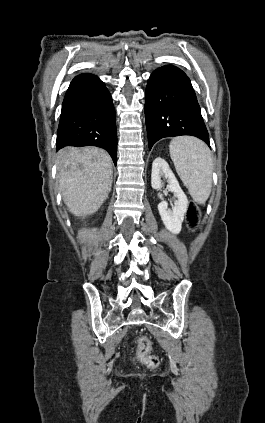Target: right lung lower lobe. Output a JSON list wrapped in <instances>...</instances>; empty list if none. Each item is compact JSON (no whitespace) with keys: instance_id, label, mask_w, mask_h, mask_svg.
Returning <instances> with one entry per match:
<instances>
[{"instance_id":"obj_1","label":"right lung lower lobe","mask_w":265,"mask_h":423,"mask_svg":"<svg viewBox=\"0 0 265 423\" xmlns=\"http://www.w3.org/2000/svg\"><path fill=\"white\" fill-rule=\"evenodd\" d=\"M56 146L101 147L116 165L115 110L109 91L95 75L80 74L71 82L62 104Z\"/></svg>"}]
</instances>
